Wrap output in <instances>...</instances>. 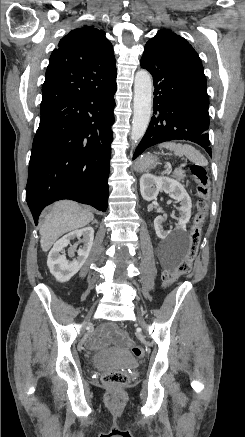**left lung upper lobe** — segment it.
<instances>
[{
  "mask_svg": "<svg viewBox=\"0 0 245 437\" xmlns=\"http://www.w3.org/2000/svg\"><path fill=\"white\" fill-rule=\"evenodd\" d=\"M145 50L154 51L205 77L202 62L197 52L183 37L171 30H159L155 37L146 43Z\"/></svg>",
  "mask_w": 245,
  "mask_h": 437,
  "instance_id": "obj_1",
  "label": "left lung upper lobe"
}]
</instances>
